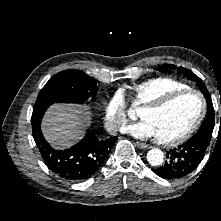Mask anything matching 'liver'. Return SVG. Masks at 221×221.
Instances as JSON below:
<instances>
[{"instance_id":"obj_1","label":"liver","mask_w":221,"mask_h":221,"mask_svg":"<svg viewBox=\"0 0 221 221\" xmlns=\"http://www.w3.org/2000/svg\"><path fill=\"white\" fill-rule=\"evenodd\" d=\"M87 109V107H84ZM73 105H52L42 121V132L47 141L56 149H64L76 143L84 132V124L90 115Z\"/></svg>"}]
</instances>
